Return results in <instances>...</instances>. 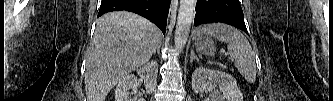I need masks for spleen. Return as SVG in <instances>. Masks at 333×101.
<instances>
[{
    "label": "spleen",
    "mask_w": 333,
    "mask_h": 101,
    "mask_svg": "<svg viewBox=\"0 0 333 101\" xmlns=\"http://www.w3.org/2000/svg\"><path fill=\"white\" fill-rule=\"evenodd\" d=\"M202 35L215 37L227 43L231 60L240 74L249 83L256 81V64L252 47L246 37L237 29L222 23L204 25L196 29L193 38Z\"/></svg>",
    "instance_id": "obj_1"
}]
</instances>
